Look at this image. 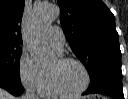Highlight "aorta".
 Here are the masks:
<instances>
[{"instance_id": "1", "label": "aorta", "mask_w": 128, "mask_h": 99, "mask_svg": "<svg viewBox=\"0 0 128 99\" xmlns=\"http://www.w3.org/2000/svg\"><path fill=\"white\" fill-rule=\"evenodd\" d=\"M58 14L59 10L55 5L39 6L33 13L27 46L37 64L42 67L52 64L57 59L56 53L44 38V30L57 18Z\"/></svg>"}]
</instances>
